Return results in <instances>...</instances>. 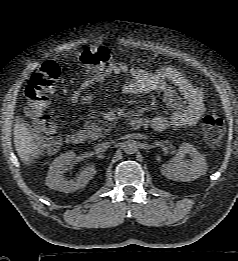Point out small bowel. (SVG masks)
<instances>
[{
    "instance_id": "1",
    "label": "small bowel",
    "mask_w": 238,
    "mask_h": 261,
    "mask_svg": "<svg viewBox=\"0 0 238 261\" xmlns=\"http://www.w3.org/2000/svg\"><path fill=\"white\" fill-rule=\"evenodd\" d=\"M130 77L123 86L124 93L139 95L158 92L163 94L165 104L172 110L167 117L155 115L150 120L151 127L156 131H164L168 127L183 128L197 124L204 113V95L201 88L194 86L180 71L172 66H163L155 71L142 67L129 66L126 63L110 64L105 74L90 75L81 84L79 90L71 95L74 102L84 104L92 101V95L83 93L103 80L106 75H122ZM169 82L178 90L185 106L181 107L178 99L166 88Z\"/></svg>"
}]
</instances>
